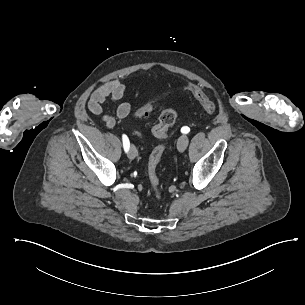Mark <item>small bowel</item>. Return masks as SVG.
I'll list each match as a JSON object with an SVG mask.
<instances>
[{"label":"small bowel","mask_w":305,"mask_h":305,"mask_svg":"<svg viewBox=\"0 0 305 305\" xmlns=\"http://www.w3.org/2000/svg\"><path fill=\"white\" fill-rule=\"evenodd\" d=\"M124 92L125 85L119 79H113L97 88L90 96L88 101L89 111L99 116L108 129L115 126L116 119H124L131 112V104L129 102H123L117 107L115 117L104 112L103 105L106 102L120 100L123 97Z\"/></svg>","instance_id":"c3829d8e"}]
</instances>
